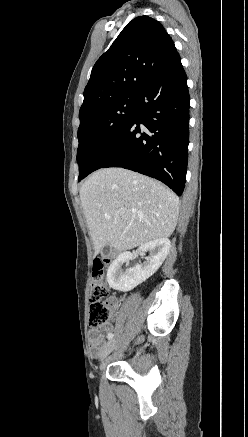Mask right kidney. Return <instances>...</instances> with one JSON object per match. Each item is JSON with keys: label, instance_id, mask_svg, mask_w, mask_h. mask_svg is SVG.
<instances>
[{"label": "right kidney", "instance_id": "ca27d5eb", "mask_svg": "<svg viewBox=\"0 0 248 437\" xmlns=\"http://www.w3.org/2000/svg\"><path fill=\"white\" fill-rule=\"evenodd\" d=\"M171 248L168 238H161L141 245L136 255L150 252V257L143 264H138L125 272L121 269L123 263L132 259L130 252H123L111 263L107 271L109 286L115 290L127 292L151 277L162 265Z\"/></svg>", "mask_w": 248, "mask_h": 437}]
</instances>
